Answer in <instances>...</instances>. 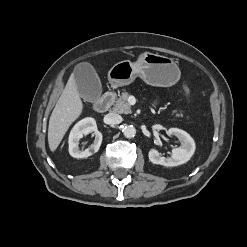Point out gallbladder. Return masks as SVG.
Segmentation results:
<instances>
[{
  "label": "gallbladder",
  "mask_w": 247,
  "mask_h": 247,
  "mask_svg": "<svg viewBox=\"0 0 247 247\" xmlns=\"http://www.w3.org/2000/svg\"><path fill=\"white\" fill-rule=\"evenodd\" d=\"M73 75L79 95L85 101L96 102L101 96L102 86L94 67L87 62L79 63Z\"/></svg>",
  "instance_id": "1"
}]
</instances>
